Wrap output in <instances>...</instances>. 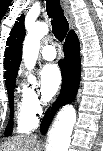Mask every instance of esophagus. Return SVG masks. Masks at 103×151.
<instances>
[{
  "instance_id": "1",
  "label": "esophagus",
  "mask_w": 103,
  "mask_h": 151,
  "mask_svg": "<svg viewBox=\"0 0 103 151\" xmlns=\"http://www.w3.org/2000/svg\"><path fill=\"white\" fill-rule=\"evenodd\" d=\"M61 5L64 10L65 17L67 18V20L69 22L70 27L73 28L74 19H73L72 13H71V9H70L68 0H61Z\"/></svg>"
}]
</instances>
